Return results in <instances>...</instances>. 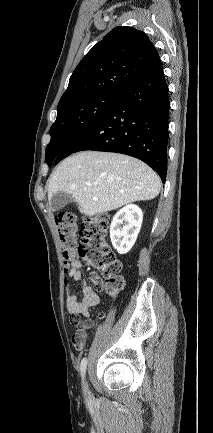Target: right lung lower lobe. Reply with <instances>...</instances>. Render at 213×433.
Wrapping results in <instances>:
<instances>
[{
  "instance_id": "obj_1",
  "label": "right lung lower lobe",
  "mask_w": 213,
  "mask_h": 433,
  "mask_svg": "<svg viewBox=\"0 0 213 433\" xmlns=\"http://www.w3.org/2000/svg\"><path fill=\"white\" fill-rule=\"evenodd\" d=\"M168 91L159 59L99 121L56 157V164L70 154L83 150L123 153L144 161L164 183L169 137Z\"/></svg>"
}]
</instances>
